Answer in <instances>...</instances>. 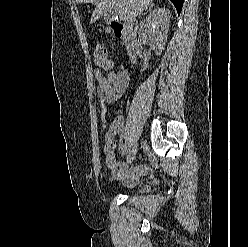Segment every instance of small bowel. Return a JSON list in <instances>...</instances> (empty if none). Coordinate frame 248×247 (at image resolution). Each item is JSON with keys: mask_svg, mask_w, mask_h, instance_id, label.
<instances>
[{"mask_svg": "<svg viewBox=\"0 0 248 247\" xmlns=\"http://www.w3.org/2000/svg\"><path fill=\"white\" fill-rule=\"evenodd\" d=\"M103 71H108L104 76ZM94 75L97 80V92L100 99V118L104 128V154L106 165L111 169L115 179H122L127 184L136 182L141 176L148 171L146 165H138L127 168L122 162H118L115 157L116 143L115 135L122 132L124 128V119L122 116L117 117L110 125H107L109 112L106 104L118 100L126 91L129 84V76L123 69H115L111 60H107L106 66H103L96 60Z\"/></svg>", "mask_w": 248, "mask_h": 247, "instance_id": "c3829d8e", "label": "small bowel"}]
</instances>
